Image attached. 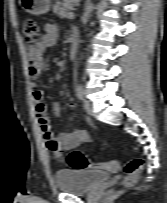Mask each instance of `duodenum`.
Listing matches in <instances>:
<instances>
[{"label": "duodenum", "instance_id": "obj_1", "mask_svg": "<svg viewBox=\"0 0 167 203\" xmlns=\"http://www.w3.org/2000/svg\"><path fill=\"white\" fill-rule=\"evenodd\" d=\"M77 51H78V44H77V40L74 39L71 44L70 50H69V59L70 60H74L76 58Z\"/></svg>", "mask_w": 167, "mask_h": 203}]
</instances>
